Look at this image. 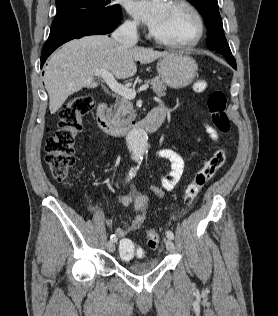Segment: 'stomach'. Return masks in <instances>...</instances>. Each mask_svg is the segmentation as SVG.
Segmentation results:
<instances>
[{"mask_svg": "<svg viewBox=\"0 0 278 316\" xmlns=\"http://www.w3.org/2000/svg\"><path fill=\"white\" fill-rule=\"evenodd\" d=\"M197 70L196 61L180 51L166 53L157 63L162 82L175 89L188 86L194 80Z\"/></svg>", "mask_w": 278, "mask_h": 316, "instance_id": "stomach-1", "label": "stomach"}]
</instances>
